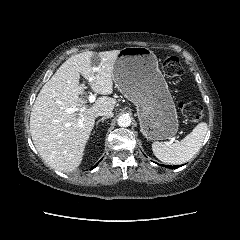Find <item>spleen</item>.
Masks as SVG:
<instances>
[{
	"label": "spleen",
	"mask_w": 240,
	"mask_h": 240,
	"mask_svg": "<svg viewBox=\"0 0 240 240\" xmlns=\"http://www.w3.org/2000/svg\"><path fill=\"white\" fill-rule=\"evenodd\" d=\"M207 131V124L201 122L189 135L179 142L173 144L153 142L152 151L160 161L166 164H183L200 150Z\"/></svg>",
	"instance_id": "spleen-1"
}]
</instances>
